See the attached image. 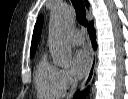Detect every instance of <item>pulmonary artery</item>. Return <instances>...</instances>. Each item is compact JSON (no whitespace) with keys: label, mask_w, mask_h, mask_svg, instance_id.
<instances>
[{"label":"pulmonary artery","mask_w":128,"mask_h":99,"mask_svg":"<svg viewBox=\"0 0 128 99\" xmlns=\"http://www.w3.org/2000/svg\"><path fill=\"white\" fill-rule=\"evenodd\" d=\"M69 39L72 44L80 45L85 41V36L79 29H72L69 32Z\"/></svg>","instance_id":"1"}]
</instances>
